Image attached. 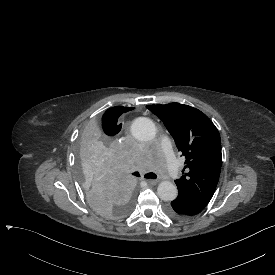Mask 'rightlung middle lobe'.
Here are the masks:
<instances>
[{"instance_id":"right-lung-middle-lobe-1","label":"right lung middle lobe","mask_w":275,"mask_h":275,"mask_svg":"<svg viewBox=\"0 0 275 275\" xmlns=\"http://www.w3.org/2000/svg\"><path fill=\"white\" fill-rule=\"evenodd\" d=\"M77 148V181L91 207L111 219L127 216L133 207L132 187L107 130L100 124L85 125Z\"/></svg>"}]
</instances>
